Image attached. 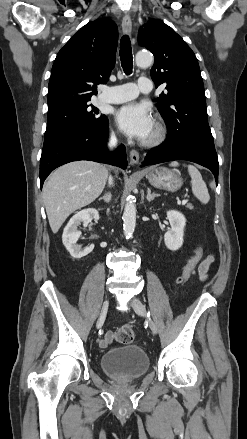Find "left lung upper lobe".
Here are the masks:
<instances>
[{"instance_id": "obj_1", "label": "left lung upper lobe", "mask_w": 247, "mask_h": 439, "mask_svg": "<svg viewBox=\"0 0 247 439\" xmlns=\"http://www.w3.org/2000/svg\"><path fill=\"white\" fill-rule=\"evenodd\" d=\"M139 42L155 57L151 77L166 93L156 99L168 135L182 143L215 150L208 125L204 84L197 58L186 42L168 25L151 20L139 32Z\"/></svg>"}]
</instances>
